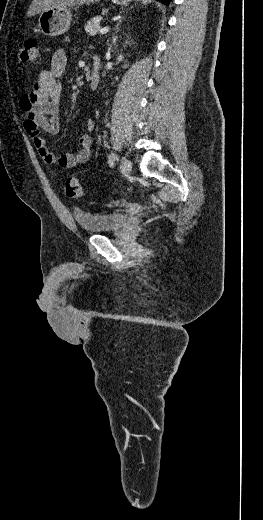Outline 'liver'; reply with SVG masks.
Wrapping results in <instances>:
<instances>
[{
  "label": "liver",
  "mask_w": 263,
  "mask_h": 520,
  "mask_svg": "<svg viewBox=\"0 0 263 520\" xmlns=\"http://www.w3.org/2000/svg\"><path fill=\"white\" fill-rule=\"evenodd\" d=\"M99 1L100 0H33L28 9L27 16L32 17L51 8H69L77 5H89Z\"/></svg>",
  "instance_id": "liver-1"
}]
</instances>
